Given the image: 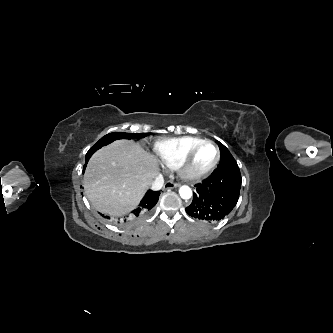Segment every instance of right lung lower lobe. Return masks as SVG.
<instances>
[{"mask_svg": "<svg viewBox=\"0 0 333 333\" xmlns=\"http://www.w3.org/2000/svg\"><path fill=\"white\" fill-rule=\"evenodd\" d=\"M92 154H93V152H91V151L87 152L86 158H85L86 163L84 165L83 172H84L86 164H87V162H88V160H89V158L91 157ZM159 195H160L159 191L148 190L147 193L145 194V196L143 197V199L141 200L139 206L135 210H133L132 213L135 216H139V214H143V213L149 211L158 202ZM102 216L104 217V215H102ZM105 217L109 218L107 216H105Z\"/></svg>", "mask_w": 333, "mask_h": 333, "instance_id": "1", "label": "right lung lower lobe"}]
</instances>
